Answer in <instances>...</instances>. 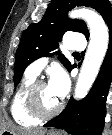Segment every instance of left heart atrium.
<instances>
[{
	"label": "left heart atrium",
	"mask_w": 112,
	"mask_h": 135,
	"mask_svg": "<svg viewBox=\"0 0 112 135\" xmlns=\"http://www.w3.org/2000/svg\"><path fill=\"white\" fill-rule=\"evenodd\" d=\"M48 85L53 94L62 99L68 91L69 80L64 71L56 70L51 74Z\"/></svg>",
	"instance_id": "obj_1"
}]
</instances>
